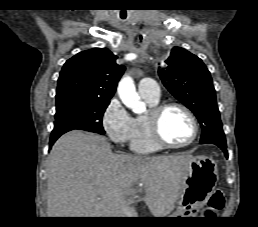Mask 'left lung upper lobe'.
Wrapping results in <instances>:
<instances>
[{"label":"left lung upper lobe","instance_id":"5c2ea615","mask_svg":"<svg viewBox=\"0 0 258 227\" xmlns=\"http://www.w3.org/2000/svg\"><path fill=\"white\" fill-rule=\"evenodd\" d=\"M164 86L198 118L201 144H226L210 72L200 58L174 47L159 70Z\"/></svg>","mask_w":258,"mask_h":227}]
</instances>
